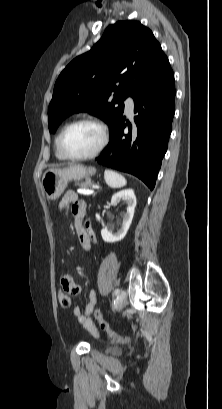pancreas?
Listing matches in <instances>:
<instances>
[{"mask_svg": "<svg viewBox=\"0 0 222 409\" xmlns=\"http://www.w3.org/2000/svg\"><path fill=\"white\" fill-rule=\"evenodd\" d=\"M92 184H93V183H92V181H91L90 179H86L84 182H81V183L79 184V186H80L81 188H88V187H90Z\"/></svg>", "mask_w": 222, "mask_h": 409, "instance_id": "cf45deb5", "label": "pancreas"}]
</instances>
